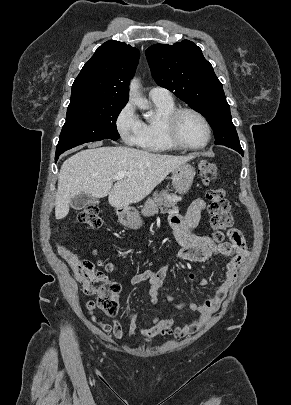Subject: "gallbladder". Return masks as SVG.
Listing matches in <instances>:
<instances>
[{
	"instance_id": "obj_1",
	"label": "gallbladder",
	"mask_w": 291,
	"mask_h": 405,
	"mask_svg": "<svg viewBox=\"0 0 291 405\" xmlns=\"http://www.w3.org/2000/svg\"><path fill=\"white\" fill-rule=\"evenodd\" d=\"M99 204V200L85 193H80L71 200V207L75 210H81L89 205Z\"/></svg>"
}]
</instances>
